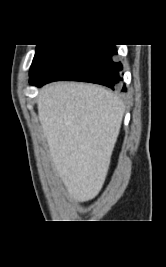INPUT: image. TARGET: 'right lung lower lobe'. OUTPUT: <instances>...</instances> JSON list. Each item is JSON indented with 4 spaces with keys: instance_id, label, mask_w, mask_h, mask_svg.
<instances>
[{
    "instance_id": "obj_1",
    "label": "right lung lower lobe",
    "mask_w": 166,
    "mask_h": 267,
    "mask_svg": "<svg viewBox=\"0 0 166 267\" xmlns=\"http://www.w3.org/2000/svg\"><path fill=\"white\" fill-rule=\"evenodd\" d=\"M123 66L114 45L55 44L30 75V84L58 80L91 82L125 91Z\"/></svg>"
}]
</instances>
